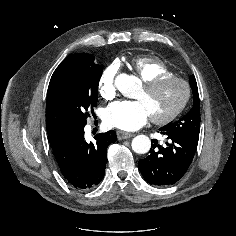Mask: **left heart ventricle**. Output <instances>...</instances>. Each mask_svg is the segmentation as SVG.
Listing matches in <instances>:
<instances>
[{
    "label": "left heart ventricle",
    "instance_id": "obj_1",
    "mask_svg": "<svg viewBox=\"0 0 236 236\" xmlns=\"http://www.w3.org/2000/svg\"><path fill=\"white\" fill-rule=\"evenodd\" d=\"M183 96L184 87L178 82H170L151 92L142 88L136 98L145 104L151 116H164L181 102Z\"/></svg>",
    "mask_w": 236,
    "mask_h": 236
}]
</instances>
